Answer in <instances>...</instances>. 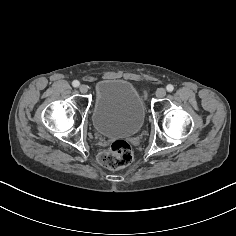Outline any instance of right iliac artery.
<instances>
[{
  "label": "right iliac artery",
  "mask_w": 236,
  "mask_h": 236,
  "mask_svg": "<svg viewBox=\"0 0 236 236\" xmlns=\"http://www.w3.org/2000/svg\"><path fill=\"white\" fill-rule=\"evenodd\" d=\"M72 85H73L74 87H78V86L80 85V83H79V81L74 80V81L72 82Z\"/></svg>",
  "instance_id": "82829eb1"
}]
</instances>
